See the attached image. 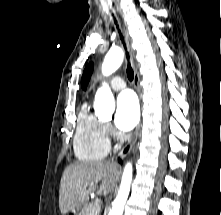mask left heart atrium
Returning a JSON list of instances; mask_svg holds the SVG:
<instances>
[{"instance_id": "1", "label": "left heart atrium", "mask_w": 221, "mask_h": 215, "mask_svg": "<svg viewBox=\"0 0 221 215\" xmlns=\"http://www.w3.org/2000/svg\"><path fill=\"white\" fill-rule=\"evenodd\" d=\"M139 120V104L131 91H124L117 99L115 124L122 131H129Z\"/></svg>"}]
</instances>
